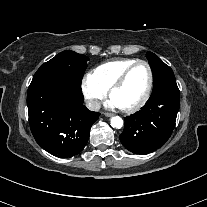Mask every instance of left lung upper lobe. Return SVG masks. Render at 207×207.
I'll return each mask as SVG.
<instances>
[{"mask_svg":"<svg viewBox=\"0 0 207 207\" xmlns=\"http://www.w3.org/2000/svg\"><path fill=\"white\" fill-rule=\"evenodd\" d=\"M147 59L154 76L153 92L169 85H177L172 69L154 53L148 52Z\"/></svg>","mask_w":207,"mask_h":207,"instance_id":"5c2ea615","label":"left lung upper lobe"}]
</instances>
